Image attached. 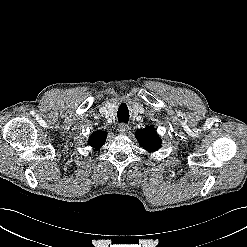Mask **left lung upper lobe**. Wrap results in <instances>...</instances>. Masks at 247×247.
I'll use <instances>...</instances> for the list:
<instances>
[{
	"mask_svg": "<svg viewBox=\"0 0 247 247\" xmlns=\"http://www.w3.org/2000/svg\"><path fill=\"white\" fill-rule=\"evenodd\" d=\"M135 136L140 145L149 152L157 151L161 146V139L157 136L153 126L138 130Z\"/></svg>",
	"mask_w": 247,
	"mask_h": 247,
	"instance_id": "1",
	"label": "left lung upper lobe"
}]
</instances>
